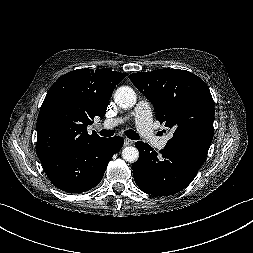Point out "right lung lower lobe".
<instances>
[{
  "label": "right lung lower lobe",
  "instance_id": "1",
  "mask_svg": "<svg viewBox=\"0 0 253 253\" xmlns=\"http://www.w3.org/2000/svg\"><path fill=\"white\" fill-rule=\"evenodd\" d=\"M123 144L119 136L102 138L82 147L58 150L40 161L54 186L68 193H81L97 186Z\"/></svg>",
  "mask_w": 253,
  "mask_h": 253
}]
</instances>
